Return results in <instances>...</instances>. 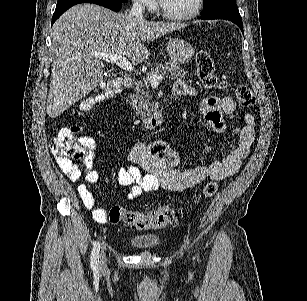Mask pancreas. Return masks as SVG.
<instances>
[{"label": "pancreas", "instance_id": "cf45deb5", "mask_svg": "<svg viewBox=\"0 0 307 301\" xmlns=\"http://www.w3.org/2000/svg\"><path fill=\"white\" fill-rule=\"evenodd\" d=\"M149 74H168L169 78H182L185 74V70H182L180 66L174 64V62H159L154 68H151ZM149 76L136 80L134 94H129L132 100V106L136 108L138 116H147L148 112H156L158 106L157 102H150V90H149Z\"/></svg>", "mask_w": 307, "mask_h": 301}]
</instances>
